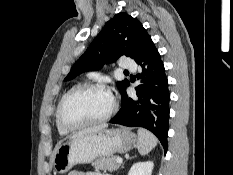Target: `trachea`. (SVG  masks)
I'll return each mask as SVG.
<instances>
[{
  "instance_id": "1",
  "label": "trachea",
  "mask_w": 233,
  "mask_h": 175,
  "mask_svg": "<svg viewBox=\"0 0 233 175\" xmlns=\"http://www.w3.org/2000/svg\"><path fill=\"white\" fill-rule=\"evenodd\" d=\"M124 72H125V73H127L128 71H127V70H125Z\"/></svg>"
}]
</instances>
